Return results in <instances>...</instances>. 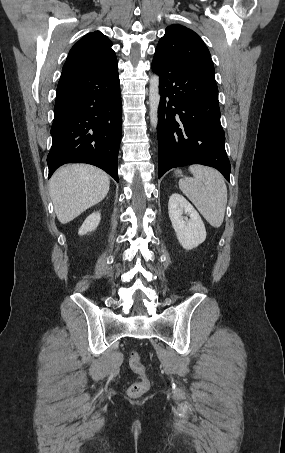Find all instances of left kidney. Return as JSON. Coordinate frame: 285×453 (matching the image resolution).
Segmentation results:
<instances>
[{"label":"left kidney","instance_id":"obj_1","mask_svg":"<svg viewBox=\"0 0 285 453\" xmlns=\"http://www.w3.org/2000/svg\"><path fill=\"white\" fill-rule=\"evenodd\" d=\"M168 212L177 239L184 249L191 250L205 241L204 223L199 213L182 195L174 193L170 196ZM184 213L186 217L183 216Z\"/></svg>","mask_w":285,"mask_h":453}]
</instances>
